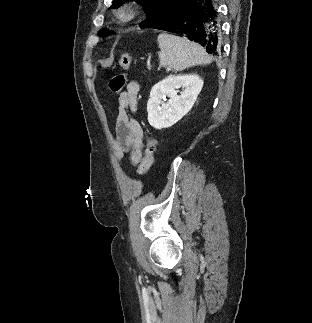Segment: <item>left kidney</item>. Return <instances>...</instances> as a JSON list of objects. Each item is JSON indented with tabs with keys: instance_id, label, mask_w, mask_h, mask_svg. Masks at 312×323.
<instances>
[{
	"instance_id": "left-kidney-1",
	"label": "left kidney",
	"mask_w": 312,
	"mask_h": 323,
	"mask_svg": "<svg viewBox=\"0 0 312 323\" xmlns=\"http://www.w3.org/2000/svg\"><path fill=\"white\" fill-rule=\"evenodd\" d=\"M179 88H182V92H180V96H177ZM202 88L203 80L197 74L168 76L162 82L155 84L147 102L150 126L156 130L174 126L191 110ZM165 96L170 98L168 102H162V100H166Z\"/></svg>"
}]
</instances>
